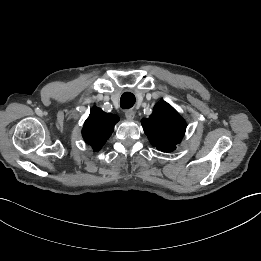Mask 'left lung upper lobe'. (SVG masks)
I'll return each mask as SVG.
<instances>
[{
    "instance_id": "5c2ea615",
    "label": "left lung upper lobe",
    "mask_w": 261,
    "mask_h": 261,
    "mask_svg": "<svg viewBox=\"0 0 261 261\" xmlns=\"http://www.w3.org/2000/svg\"><path fill=\"white\" fill-rule=\"evenodd\" d=\"M141 123L150 143L162 152L174 151L186 130L185 120L165 101L157 103L150 117Z\"/></svg>"
}]
</instances>
